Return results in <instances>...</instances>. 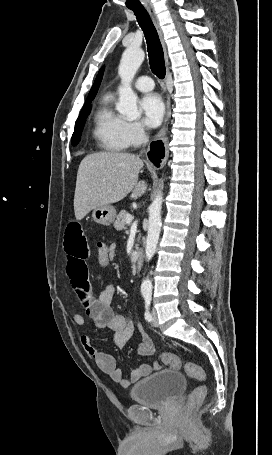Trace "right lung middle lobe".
Returning <instances> with one entry per match:
<instances>
[{"label":"right lung middle lobe","instance_id":"dd1d6c3e","mask_svg":"<svg viewBox=\"0 0 272 455\" xmlns=\"http://www.w3.org/2000/svg\"><path fill=\"white\" fill-rule=\"evenodd\" d=\"M91 101L92 100L85 102L83 109L81 110L80 115L75 123V130L71 139L72 145H77L80 141L81 131L84 127L85 120L88 114L90 113L92 107Z\"/></svg>","mask_w":272,"mask_h":455}]
</instances>
